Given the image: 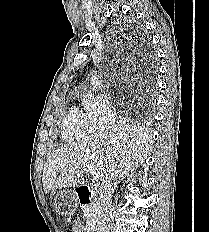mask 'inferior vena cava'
Instances as JSON below:
<instances>
[{
	"label": "inferior vena cava",
	"instance_id": "inferior-vena-cava-1",
	"mask_svg": "<svg viewBox=\"0 0 209 232\" xmlns=\"http://www.w3.org/2000/svg\"><path fill=\"white\" fill-rule=\"evenodd\" d=\"M113 187L112 179H106L100 188L96 232H110V210Z\"/></svg>",
	"mask_w": 209,
	"mask_h": 232
}]
</instances>
